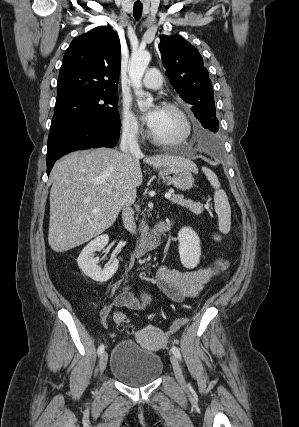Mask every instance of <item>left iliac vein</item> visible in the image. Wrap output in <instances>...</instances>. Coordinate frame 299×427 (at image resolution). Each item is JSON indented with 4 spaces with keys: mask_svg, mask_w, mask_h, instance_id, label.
Wrapping results in <instances>:
<instances>
[{
    "mask_svg": "<svg viewBox=\"0 0 299 427\" xmlns=\"http://www.w3.org/2000/svg\"><path fill=\"white\" fill-rule=\"evenodd\" d=\"M170 360H171V364L173 367L174 374H175L178 382L184 383L183 372H182L181 366H180L176 356L172 355Z\"/></svg>",
    "mask_w": 299,
    "mask_h": 427,
    "instance_id": "1",
    "label": "left iliac vein"
}]
</instances>
